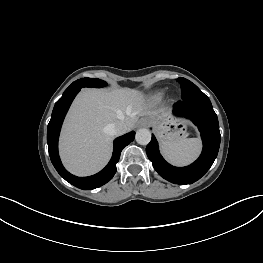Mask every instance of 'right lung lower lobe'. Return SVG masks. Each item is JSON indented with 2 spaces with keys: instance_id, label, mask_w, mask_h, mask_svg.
<instances>
[{
  "instance_id": "obj_1",
  "label": "right lung lower lobe",
  "mask_w": 263,
  "mask_h": 263,
  "mask_svg": "<svg viewBox=\"0 0 263 263\" xmlns=\"http://www.w3.org/2000/svg\"><path fill=\"white\" fill-rule=\"evenodd\" d=\"M79 91L80 88H75L65 92L56 102L47 128V143L51 162L61 177L80 189L90 190L104 185L113 178L116 173V163L119 161L121 151L134 140L135 132L132 131L125 134L114 141L112 158L107 166L99 173L89 177H76L70 174L60 161L58 154V138L64 117Z\"/></svg>"
}]
</instances>
